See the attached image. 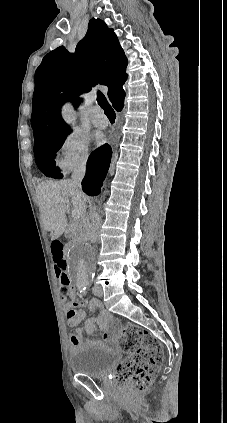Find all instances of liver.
<instances>
[{"mask_svg": "<svg viewBox=\"0 0 227 423\" xmlns=\"http://www.w3.org/2000/svg\"><path fill=\"white\" fill-rule=\"evenodd\" d=\"M37 204L45 229L49 231L51 239H57L64 231H71L66 211L72 206V210L79 211L84 227L88 221L85 204L88 200L83 192H79L72 184V180L62 182H42L36 188ZM66 200V202H58ZM58 202V204H57Z\"/></svg>", "mask_w": 227, "mask_h": 423, "instance_id": "obj_1", "label": "liver"}]
</instances>
